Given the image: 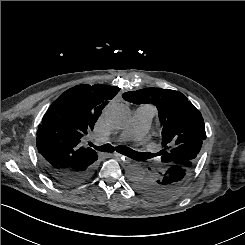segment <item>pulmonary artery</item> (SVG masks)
I'll return each instance as SVG.
<instances>
[{
	"label": "pulmonary artery",
	"instance_id": "1",
	"mask_svg": "<svg viewBox=\"0 0 245 245\" xmlns=\"http://www.w3.org/2000/svg\"><path fill=\"white\" fill-rule=\"evenodd\" d=\"M155 113V109L151 106L142 105L137 107L130 123L118 139L120 141H130L141 138L148 131Z\"/></svg>",
	"mask_w": 245,
	"mask_h": 245
}]
</instances>
